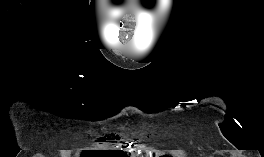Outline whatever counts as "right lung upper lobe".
Listing matches in <instances>:
<instances>
[{
    "label": "right lung upper lobe",
    "instance_id": "cb5924a9",
    "mask_svg": "<svg viewBox=\"0 0 264 157\" xmlns=\"http://www.w3.org/2000/svg\"><path fill=\"white\" fill-rule=\"evenodd\" d=\"M86 156L85 153L82 154V157ZM100 156H106V157H126L125 153L119 150L115 151H107L100 153Z\"/></svg>",
    "mask_w": 264,
    "mask_h": 157
}]
</instances>
